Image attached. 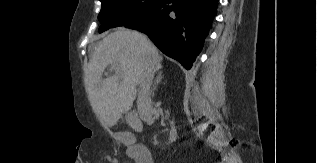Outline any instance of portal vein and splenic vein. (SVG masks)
<instances>
[{
    "label": "portal vein and splenic vein",
    "mask_w": 317,
    "mask_h": 163,
    "mask_svg": "<svg viewBox=\"0 0 317 163\" xmlns=\"http://www.w3.org/2000/svg\"><path fill=\"white\" fill-rule=\"evenodd\" d=\"M113 69L115 71V74H117V75H121L122 74L121 67H120L119 64L113 65Z\"/></svg>",
    "instance_id": "1"
}]
</instances>
